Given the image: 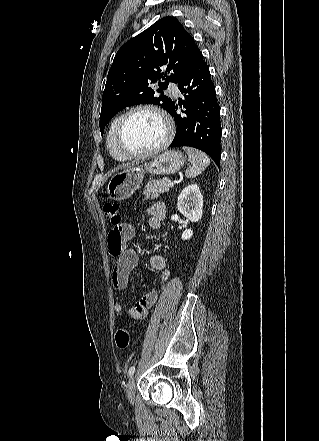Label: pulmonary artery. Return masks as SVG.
I'll return each instance as SVG.
<instances>
[{
	"label": "pulmonary artery",
	"mask_w": 319,
	"mask_h": 441,
	"mask_svg": "<svg viewBox=\"0 0 319 441\" xmlns=\"http://www.w3.org/2000/svg\"><path fill=\"white\" fill-rule=\"evenodd\" d=\"M168 91L171 93L174 97H178L180 95V91L176 84L170 83L168 86Z\"/></svg>",
	"instance_id": "pulmonary-artery-1"
}]
</instances>
